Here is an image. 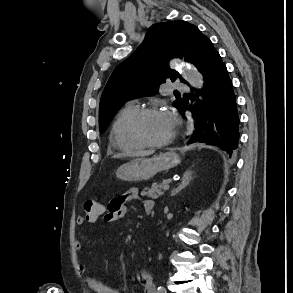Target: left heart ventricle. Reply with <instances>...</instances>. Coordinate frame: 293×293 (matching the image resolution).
Returning a JSON list of instances; mask_svg holds the SVG:
<instances>
[{
  "instance_id": "left-heart-ventricle-1",
  "label": "left heart ventricle",
  "mask_w": 293,
  "mask_h": 293,
  "mask_svg": "<svg viewBox=\"0 0 293 293\" xmlns=\"http://www.w3.org/2000/svg\"><path fill=\"white\" fill-rule=\"evenodd\" d=\"M173 131L171 116L164 112L148 115L142 123V132L150 141L157 142L167 139Z\"/></svg>"
}]
</instances>
